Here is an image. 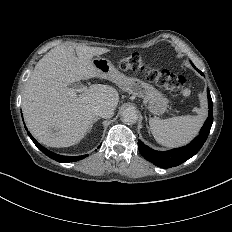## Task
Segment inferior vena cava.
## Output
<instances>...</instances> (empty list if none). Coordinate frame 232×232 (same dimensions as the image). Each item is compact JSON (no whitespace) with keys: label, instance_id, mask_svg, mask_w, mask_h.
I'll use <instances>...</instances> for the list:
<instances>
[{"label":"inferior vena cava","instance_id":"602c4592","mask_svg":"<svg viewBox=\"0 0 232 232\" xmlns=\"http://www.w3.org/2000/svg\"><path fill=\"white\" fill-rule=\"evenodd\" d=\"M94 112H95L96 116H98L100 118L108 119V118H111L113 116L114 110L110 107L101 105V106H98L97 108H95Z\"/></svg>","mask_w":232,"mask_h":232}]
</instances>
